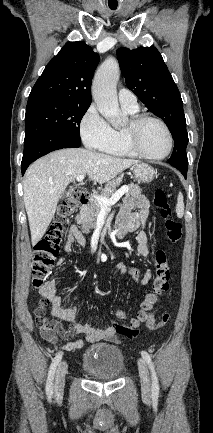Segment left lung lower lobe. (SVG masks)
<instances>
[{"label": "left lung lower lobe", "instance_id": "left-lung-lower-lobe-1", "mask_svg": "<svg viewBox=\"0 0 213 433\" xmlns=\"http://www.w3.org/2000/svg\"><path fill=\"white\" fill-rule=\"evenodd\" d=\"M174 166V165H172ZM175 168H177L182 174L183 176L186 178L187 177V169L188 168H183V167H179V166H174Z\"/></svg>", "mask_w": 213, "mask_h": 433}]
</instances>
